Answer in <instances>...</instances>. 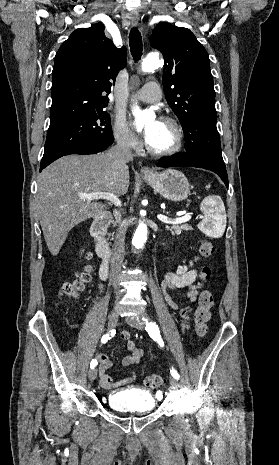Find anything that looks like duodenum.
<instances>
[{
  "label": "duodenum",
  "mask_w": 279,
  "mask_h": 465,
  "mask_svg": "<svg viewBox=\"0 0 279 465\" xmlns=\"http://www.w3.org/2000/svg\"><path fill=\"white\" fill-rule=\"evenodd\" d=\"M112 221V215L104 212L93 221L91 225V235L95 240V249L98 257L102 260L100 267V277L106 279L108 275V261L110 248L105 237L106 230Z\"/></svg>",
  "instance_id": "duodenum-1"
}]
</instances>
